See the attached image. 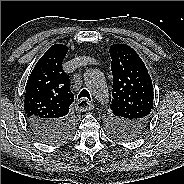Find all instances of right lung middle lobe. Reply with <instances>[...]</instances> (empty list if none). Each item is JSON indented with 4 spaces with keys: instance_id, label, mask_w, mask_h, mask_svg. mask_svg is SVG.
<instances>
[{
    "instance_id": "dd1d6c3e",
    "label": "right lung middle lobe",
    "mask_w": 184,
    "mask_h": 184,
    "mask_svg": "<svg viewBox=\"0 0 184 184\" xmlns=\"http://www.w3.org/2000/svg\"><path fill=\"white\" fill-rule=\"evenodd\" d=\"M74 127H72L71 130H69L68 132H66V134H63L61 137H58V139H56L53 143L51 144H57V143H62L66 140L69 139V137L71 136L72 132H73Z\"/></svg>"
}]
</instances>
